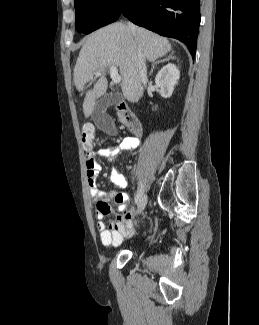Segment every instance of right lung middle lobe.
<instances>
[{
    "instance_id": "dd1d6c3e",
    "label": "right lung middle lobe",
    "mask_w": 259,
    "mask_h": 325,
    "mask_svg": "<svg viewBox=\"0 0 259 325\" xmlns=\"http://www.w3.org/2000/svg\"><path fill=\"white\" fill-rule=\"evenodd\" d=\"M126 0H74L76 30L89 34L116 21Z\"/></svg>"
}]
</instances>
